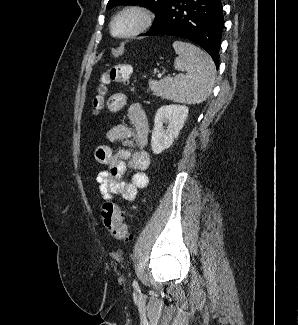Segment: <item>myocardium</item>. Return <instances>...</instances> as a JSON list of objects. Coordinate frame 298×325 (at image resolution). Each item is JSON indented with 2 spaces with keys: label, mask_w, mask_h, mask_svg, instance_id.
Listing matches in <instances>:
<instances>
[{
  "label": "myocardium",
  "mask_w": 298,
  "mask_h": 325,
  "mask_svg": "<svg viewBox=\"0 0 298 325\" xmlns=\"http://www.w3.org/2000/svg\"><path fill=\"white\" fill-rule=\"evenodd\" d=\"M125 20L132 21V29L126 33H119L117 28L119 24ZM147 26V18L146 16L139 10L131 9L121 12L115 18L114 23L111 26V34L113 37L120 40H131L142 33Z\"/></svg>",
  "instance_id": "myocardium-1"
}]
</instances>
